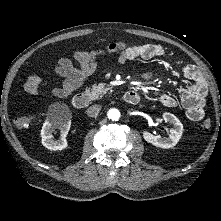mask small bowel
<instances>
[{
    "label": "small bowel",
    "instance_id": "c3829d8e",
    "mask_svg": "<svg viewBox=\"0 0 221 221\" xmlns=\"http://www.w3.org/2000/svg\"><path fill=\"white\" fill-rule=\"evenodd\" d=\"M108 54H117L120 63H127L138 59L147 60L164 56L166 52L159 45L127 44L123 41L109 43L101 49L76 51L73 59L62 58L59 60L54 72L59 78L60 85L51 89L50 93L58 97L72 95L95 72L98 59ZM181 72L190 81V84L181 90V105L190 120L200 121L205 114L207 82L194 65L183 66ZM158 101L165 107L172 108L178 105L177 99L166 93H161Z\"/></svg>",
    "mask_w": 221,
    "mask_h": 221
}]
</instances>
